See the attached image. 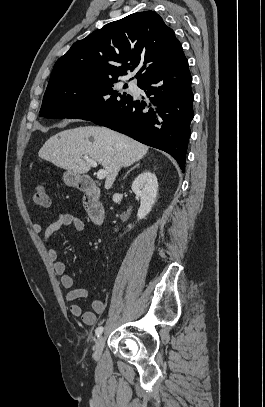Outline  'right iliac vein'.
Returning <instances> with one entry per match:
<instances>
[{
  "mask_svg": "<svg viewBox=\"0 0 265 407\" xmlns=\"http://www.w3.org/2000/svg\"><path fill=\"white\" fill-rule=\"evenodd\" d=\"M104 341H105V339H104L103 336L98 337V339L96 341V344H95V347H94V357H95V359L100 358V355H101V352H102V349H103V346H104Z\"/></svg>",
  "mask_w": 265,
  "mask_h": 407,
  "instance_id": "63e3f726",
  "label": "right iliac vein"
}]
</instances>
